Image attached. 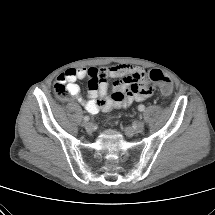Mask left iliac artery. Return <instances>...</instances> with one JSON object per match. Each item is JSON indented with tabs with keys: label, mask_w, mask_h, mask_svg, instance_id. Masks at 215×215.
Masks as SVG:
<instances>
[{
	"label": "left iliac artery",
	"mask_w": 215,
	"mask_h": 215,
	"mask_svg": "<svg viewBox=\"0 0 215 215\" xmlns=\"http://www.w3.org/2000/svg\"><path fill=\"white\" fill-rule=\"evenodd\" d=\"M144 109H145V106H144L143 104H140V105L138 106V110H139V111H144Z\"/></svg>",
	"instance_id": "44dca946"
}]
</instances>
